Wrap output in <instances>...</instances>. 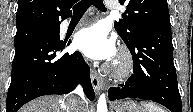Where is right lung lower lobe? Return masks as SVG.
<instances>
[{
	"label": "right lung lower lobe",
	"mask_w": 193,
	"mask_h": 112,
	"mask_svg": "<svg viewBox=\"0 0 193 112\" xmlns=\"http://www.w3.org/2000/svg\"><path fill=\"white\" fill-rule=\"evenodd\" d=\"M53 30L15 47L12 79L7 93V112H16L30 100L48 94H67L81 83L94 100L90 70L80 52L60 55L65 46Z\"/></svg>",
	"instance_id": "98d812e1"
}]
</instances>
